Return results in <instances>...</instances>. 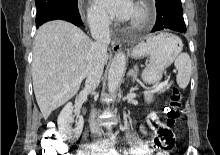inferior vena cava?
I'll return each instance as SVG.
<instances>
[{
  "instance_id": "inferior-vena-cava-1",
  "label": "inferior vena cava",
  "mask_w": 220,
  "mask_h": 155,
  "mask_svg": "<svg viewBox=\"0 0 220 155\" xmlns=\"http://www.w3.org/2000/svg\"><path fill=\"white\" fill-rule=\"evenodd\" d=\"M90 31L94 42L90 46L87 56L88 64L85 70L84 92L94 91L103 74L107 58V46L110 43L109 21L105 14L93 13L88 18ZM95 113H91L90 129L92 134H99L100 128L94 120Z\"/></svg>"
}]
</instances>
